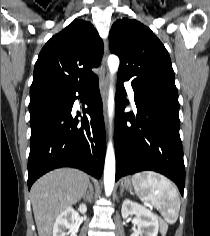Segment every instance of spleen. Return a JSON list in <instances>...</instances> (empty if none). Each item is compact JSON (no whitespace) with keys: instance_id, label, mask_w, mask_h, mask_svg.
<instances>
[{"instance_id":"obj_1","label":"spleen","mask_w":210,"mask_h":236,"mask_svg":"<svg viewBox=\"0 0 210 236\" xmlns=\"http://www.w3.org/2000/svg\"><path fill=\"white\" fill-rule=\"evenodd\" d=\"M132 183L140 198L159 209L167 223L173 224L177 221L180 199L177 189L168 179L149 171L134 174Z\"/></svg>"}]
</instances>
